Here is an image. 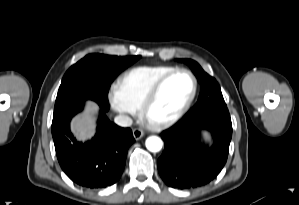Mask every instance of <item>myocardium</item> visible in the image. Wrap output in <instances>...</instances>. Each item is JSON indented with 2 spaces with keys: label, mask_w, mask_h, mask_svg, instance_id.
<instances>
[{
  "label": "myocardium",
  "mask_w": 299,
  "mask_h": 205,
  "mask_svg": "<svg viewBox=\"0 0 299 205\" xmlns=\"http://www.w3.org/2000/svg\"><path fill=\"white\" fill-rule=\"evenodd\" d=\"M179 73H185L189 75V77L192 80V90L190 93V96L186 100V102L181 106L179 110H177L174 114H172L169 117L159 119V120H151L149 118V112L154 105L159 93L161 92L162 88L166 84V82L172 78L173 76L179 74ZM197 79L195 75L188 69L185 68H176L169 73L162 76L155 85L151 88L149 93L147 94L146 98L142 102L140 106V116L143 119V121L152 129H162L166 128L174 123H176L179 119H181L186 112L191 107L197 93Z\"/></svg>",
  "instance_id": "myocardium-1"
}]
</instances>
